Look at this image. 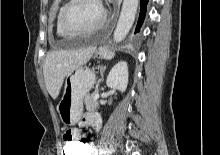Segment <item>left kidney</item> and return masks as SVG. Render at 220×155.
<instances>
[{
  "mask_svg": "<svg viewBox=\"0 0 220 155\" xmlns=\"http://www.w3.org/2000/svg\"><path fill=\"white\" fill-rule=\"evenodd\" d=\"M106 84L109 88L125 92L128 85V65L125 61L118 62L109 72Z\"/></svg>",
  "mask_w": 220,
  "mask_h": 155,
  "instance_id": "1",
  "label": "left kidney"
}]
</instances>
